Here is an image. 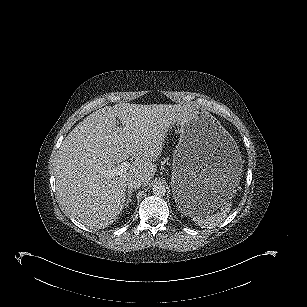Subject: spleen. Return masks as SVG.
<instances>
[{
    "label": "spleen",
    "instance_id": "1",
    "mask_svg": "<svg viewBox=\"0 0 307 307\" xmlns=\"http://www.w3.org/2000/svg\"><path fill=\"white\" fill-rule=\"evenodd\" d=\"M232 203L228 202L221 206L220 211L212 214L199 208L191 215L193 221L202 228H213L221 224L231 210Z\"/></svg>",
    "mask_w": 307,
    "mask_h": 307
}]
</instances>
